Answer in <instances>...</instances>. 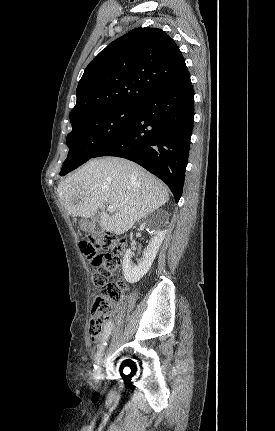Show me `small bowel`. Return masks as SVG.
I'll use <instances>...</instances> for the list:
<instances>
[{"instance_id":"small-bowel-1","label":"small bowel","mask_w":275,"mask_h":431,"mask_svg":"<svg viewBox=\"0 0 275 431\" xmlns=\"http://www.w3.org/2000/svg\"><path fill=\"white\" fill-rule=\"evenodd\" d=\"M103 334H104V333H103ZM101 337H102V336L92 338V341H93V342H95V343H98V342L101 340Z\"/></svg>"}]
</instances>
